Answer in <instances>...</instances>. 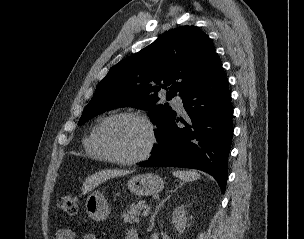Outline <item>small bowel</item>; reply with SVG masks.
I'll return each mask as SVG.
<instances>
[{"label": "small bowel", "instance_id": "small-bowel-1", "mask_svg": "<svg viewBox=\"0 0 304 239\" xmlns=\"http://www.w3.org/2000/svg\"><path fill=\"white\" fill-rule=\"evenodd\" d=\"M138 234L136 230L130 229L125 234V239H135ZM54 239H76V233L69 228H60L56 231ZM83 239H98L94 233H86Z\"/></svg>", "mask_w": 304, "mask_h": 239}]
</instances>
